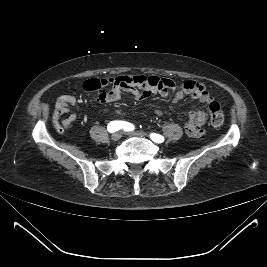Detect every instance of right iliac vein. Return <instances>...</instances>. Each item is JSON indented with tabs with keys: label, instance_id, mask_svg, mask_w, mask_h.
<instances>
[{
	"label": "right iliac vein",
	"instance_id": "63e3f726",
	"mask_svg": "<svg viewBox=\"0 0 267 267\" xmlns=\"http://www.w3.org/2000/svg\"><path fill=\"white\" fill-rule=\"evenodd\" d=\"M121 137H122V134L120 132H116V133L112 134L111 140L115 142V141L120 140Z\"/></svg>",
	"mask_w": 267,
	"mask_h": 267
}]
</instances>
